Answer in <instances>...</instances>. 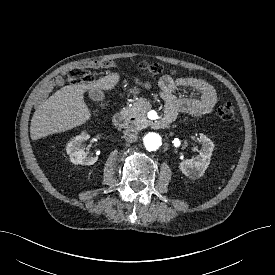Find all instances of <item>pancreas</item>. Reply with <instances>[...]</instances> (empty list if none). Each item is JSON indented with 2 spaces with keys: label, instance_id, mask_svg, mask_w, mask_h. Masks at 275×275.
<instances>
[{
  "label": "pancreas",
  "instance_id": "cf45deb5",
  "mask_svg": "<svg viewBox=\"0 0 275 275\" xmlns=\"http://www.w3.org/2000/svg\"><path fill=\"white\" fill-rule=\"evenodd\" d=\"M151 103L145 99L140 98L134 102L131 106L125 108L121 114L126 117H132L141 126H147L149 121L146 118V113L151 109Z\"/></svg>",
  "mask_w": 275,
  "mask_h": 275
}]
</instances>
